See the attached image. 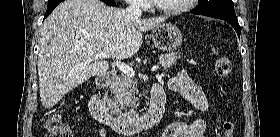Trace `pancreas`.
<instances>
[{"label": "pancreas", "instance_id": "obj_1", "mask_svg": "<svg viewBox=\"0 0 280 137\" xmlns=\"http://www.w3.org/2000/svg\"><path fill=\"white\" fill-rule=\"evenodd\" d=\"M181 58V53H169L159 55V63L164 69L171 67ZM136 83L129 76L118 79L117 85L111 90L109 99H106L107 109L115 114L118 119L129 120L136 116Z\"/></svg>", "mask_w": 280, "mask_h": 137}]
</instances>
